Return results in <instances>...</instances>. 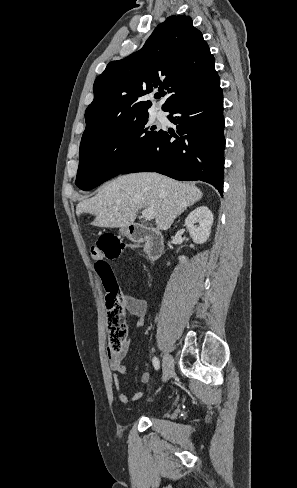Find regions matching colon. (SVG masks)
Instances as JSON below:
<instances>
[{
    "label": "colon",
    "mask_w": 297,
    "mask_h": 488,
    "mask_svg": "<svg viewBox=\"0 0 297 488\" xmlns=\"http://www.w3.org/2000/svg\"><path fill=\"white\" fill-rule=\"evenodd\" d=\"M130 248L129 245L124 244L116 235L111 233L103 234L97 244L91 248V254L95 259V270L101 278L106 291L105 305L107 309L109 347L110 352L113 354H118L123 348L127 335V325L123 296L113 269L106 259H116Z\"/></svg>",
    "instance_id": "obj_1"
}]
</instances>
